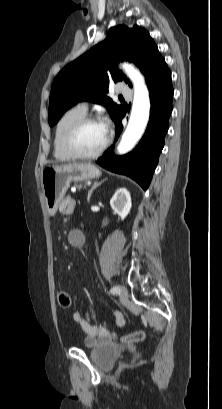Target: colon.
I'll return each instance as SVG.
<instances>
[{
	"mask_svg": "<svg viewBox=\"0 0 222 409\" xmlns=\"http://www.w3.org/2000/svg\"><path fill=\"white\" fill-rule=\"evenodd\" d=\"M57 301L60 307L62 308H69L71 306V298L67 291L64 290L59 291L57 293ZM145 337L146 335L144 331H136L124 337H121L120 340L124 343H134L144 341Z\"/></svg>",
	"mask_w": 222,
	"mask_h": 409,
	"instance_id": "5ec220e1",
	"label": "colon"
}]
</instances>
